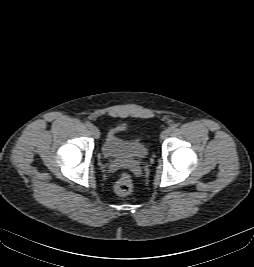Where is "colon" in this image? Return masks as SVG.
I'll use <instances>...</instances> for the list:
<instances>
[{
    "label": "colon",
    "instance_id": "1",
    "mask_svg": "<svg viewBox=\"0 0 254 267\" xmlns=\"http://www.w3.org/2000/svg\"><path fill=\"white\" fill-rule=\"evenodd\" d=\"M133 189V180L130 174L123 173L117 180L114 190L119 196H126L131 193Z\"/></svg>",
    "mask_w": 254,
    "mask_h": 267
}]
</instances>
